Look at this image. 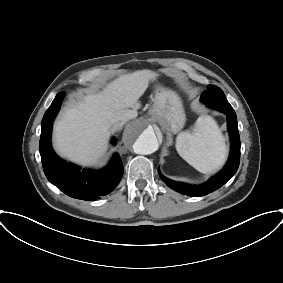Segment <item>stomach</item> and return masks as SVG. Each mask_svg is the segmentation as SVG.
I'll use <instances>...</instances> for the list:
<instances>
[{
    "mask_svg": "<svg viewBox=\"0 0 283 283\" xmlns=\"http://www.w3.org/2000/svg\"><path fill=\"white\" fill-rule=\"evenodd\" d=\"M149 113L155 118L164 120L174 133L180 131L186 121L180 97L174 91L164 88L157 89Z\"/></svg>",
    "mask_w": 283,
    "mask_h": 283,
    "instance_id": "stomach-1",
    "label": "stomach"
}]
</instances>
